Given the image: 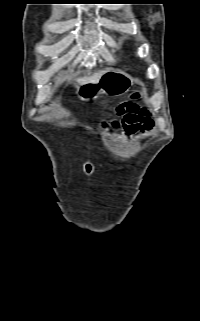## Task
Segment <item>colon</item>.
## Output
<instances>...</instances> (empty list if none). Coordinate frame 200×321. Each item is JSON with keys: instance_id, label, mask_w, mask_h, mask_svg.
<instances>
[{"instance_id": "obj_1", "label": "colon", "mask_w": 200, "mask_h": 321, "mask_svg": "<svg viewBox=\"0 0 200 321\" xmlns=\"http://www.w3.org/2000/svg\"><path fill=\"white\" fill-rule=\"evenodd\" d=\"M135 97H137V95H135ZM125 104V103H124ZM124 104H122L121 106H119L118 108H117V113L119 114V115H121L123 112H124V109H123V105Z\"/></svg>"}]
</instances>
